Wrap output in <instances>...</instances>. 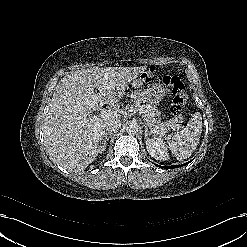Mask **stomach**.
Listing matches in <instances>:
<instances>
[{
  "instance_id": "0dacf381",
  "label": "stomach",
  "mask_w": 247,
  "mask_h": 247,
  "mask_svg": "<svg viewBox=\"0 0 247 247\" xmlns=\"http://www.w3.org/2000/svg\"><path fill=\"white\" fill-rule=\"evenodd\" d=\"M141 75V74H140ZM142 86V78L135 79L128 84V88H140ZM167 95V89L161 84H153L151 87L135 91L132 97L137 96L150 104H158Z\"/></svg>"
}]
</instances>
